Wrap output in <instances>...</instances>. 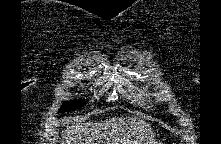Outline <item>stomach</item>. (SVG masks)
Wrapping results in <instances>:
<instances>
[{
  "label": "stomach",
  "mask_w": 221,
  "mask_h": 144,
  "mask_svg": "<svg viewBox=\"0 0 221 144\" xmlns=\"http://www.w3.org/2000/svg\"><path fill=\"white\" fill-rule=\"evenodd\" d=\"M143 144H157L154 137L150 138L148 141L144 142Z\"/></svg>",
  "instance_id": "0dacf381"
}]
</instances>
